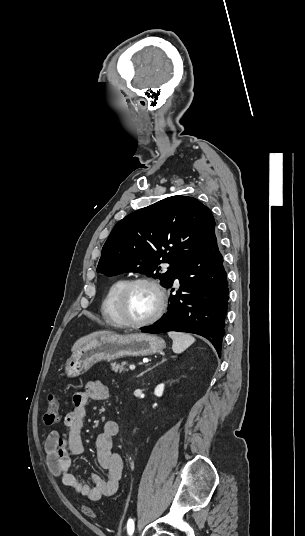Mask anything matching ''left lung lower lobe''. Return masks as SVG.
<instances>
[{
    "instance_id": "1",
    "label": "left lung lower lobe",
    "mask_w": 305,
    "mask_h": 536,
    "mask_svg": "<svg viewBox=\"0 0 305 536\" xmlns=\"http://www.w3.org/2000/svg\"><path fill=\"white\" fill-rule=\"evenodd\" d=\"M215 232L176 272L167 287L178 278L180 289L170 294L166 315L146 333L180 331L207 338L220 356L228 306V281ZM171 291H174L172 289Z\"/></svg>"
}]
</instances>
